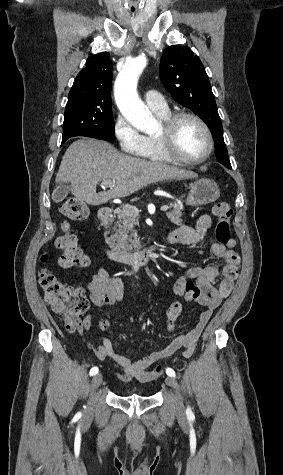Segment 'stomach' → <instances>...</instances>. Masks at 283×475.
<instances>
[{"instance_id": "0dacf381", "label": "stomach", "mask_w": 283, "mask_h": 475, "mask_svg": "<svg viewBox=\"0 0 283 475\" xmlns=\"http://www.w3.org/2000/svg\"><path fill=\"white\" fill-rule=\"evenodd\" d=\"M220 196V190L213 180H196L190 186V192L186 198L188 206H204L215 202Z\"/></svg>"}]
</instances>
